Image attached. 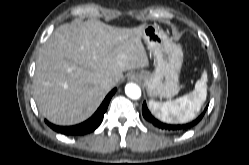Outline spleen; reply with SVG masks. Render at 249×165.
Returning <instances> with one entry per match:
<instances>
[{"mask_svg": "<svg viewBox=\"0 0 249 165\" xmlns=\"http://www.w3.org/2000/svg\"><path fill=\"white\" fill-rule=\"evenodd\" d=\"M207 96V73H202L201 79L195 84L193 92L168 102L149 101L152 113L168 123H185L194 119L200 111Z\"/></svg>", "mask_w": 249, "mask_h": 165, "instance_id": "3e777b00", "label": "spleen"}]
</instances>
